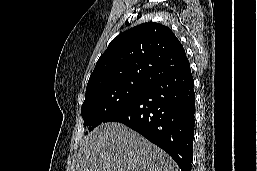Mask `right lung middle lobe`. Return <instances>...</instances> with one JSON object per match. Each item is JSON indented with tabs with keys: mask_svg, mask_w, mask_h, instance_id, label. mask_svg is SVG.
I'll list each match as a JSON object with an SVG mask.
<instances>
[{
	"mask_svg": "<svg viewBox=\"0 0 257 171\" xmlns=\"http://www.w3.org/2000/svg\"><path fill=\"white\" fill-rule=\"evenodd\" d=\"M147 86L143 83H114L86 91L81 108L84 126H89V131L93 130L138 96Z\"/></svg>",
	"mask_w": 257,
	"mask_h": 171,
	"instance_id": "obj_1",
	"label": "right lung middle lobe"
}]
</instances>
